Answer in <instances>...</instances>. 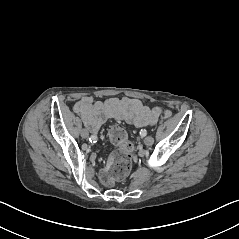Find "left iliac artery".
<instances>
[{"label": "left iliac artery", "instance_id": "1", "mask_svg": "<svg viewBox=\"0 0 239 239\" xmlns=\"http://www.w3.org/2000/svg\"><path fill=\"white\" fill-rule=\"evenodd\" d=\"M140 135L142 136V137H144V136H146L147 135V131L144 129V130H141L140 131Z\"/></svg>", "mask_w": 239, "mask_h": 239}]
</instances>
